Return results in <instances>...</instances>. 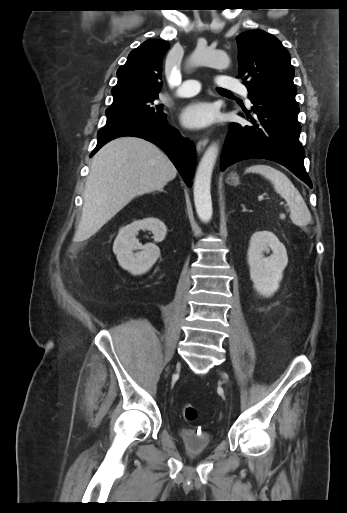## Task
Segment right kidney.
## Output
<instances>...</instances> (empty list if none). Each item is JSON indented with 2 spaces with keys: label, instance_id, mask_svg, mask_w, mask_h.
<instances>
[{
  "label": "right kidney",
  "instance_id": "obj_1",
  "mask_svg": "<svg viewBox=\"0 0 347 513\" xmlns=\"http://www.w3.org/2000/svg\"><path fill=\"white\" fill-rule=\"evenodd\" d=\"M139 230H149L153 233L154 241L161 242L166 235L165 224L157 218L137 220L120 229L114 244L119 265L133 275L147 272L160 256V250L154 243L142 245L136 235ZM134 250H140L134 253Z\"/></svg>",
  "mask_w": 347,
  "mask_h": 513
}]
</instances>
